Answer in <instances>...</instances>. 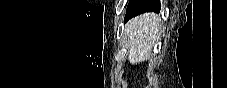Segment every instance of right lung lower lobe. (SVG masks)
<instances>
[{"label": "right lung lower lobe", "instance_id": "98d812e1", "mask_svg": "<svg viewBox=\"0 0 227 88\" xmlns=\"http://www.w3.org/2000/svg\"><path fill=\"white\" fill-rule=\"evenodd\" d=\"M161 8L159 0H133L128 6L125 22L144 12H159Z\"/></svg>", "mask_w": 227, "mask_h": 88}]
</instances>
